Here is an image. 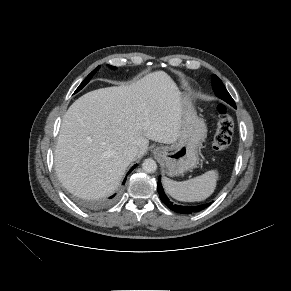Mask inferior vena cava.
<instances>
[{
    "mask_svg": "<svg viewBox=\"0 0 291 291\" xmlns=\"http://www.w3.org/2000/svg\"><path fill=\"white\" fill-rule=\"evenodd\" d=\"M137 153H138V148L136 146H132L128 148L124 154L129 160H133L135 156L137 155Z\"/></svg>",
    "mask_w": 291,
    "mask_h": 291,
    "instance_id": "602c4592",
    "label": "inferior vena cava"
}]
</instances>
